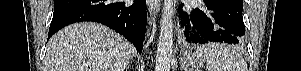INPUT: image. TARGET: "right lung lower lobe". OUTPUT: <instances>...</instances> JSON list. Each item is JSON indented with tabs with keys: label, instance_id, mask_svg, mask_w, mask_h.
I'll use <instances>...</instances> for the list:
<instances>
[{
	"label": "right lung lower lobe",
	"instance_id": "1",
	"mask_svg": "<svg viewBox=\"0 0 301 71\" xmlns=\"http://www.w3.org/2000/svg\"><path fill=\"white\" fill-rule=\"evenodd\" d=\"M83 21L112 28L141 53L147 22L146 0H134L132 5L115 0H55L48 39L66 25Z\"/></svg>",
	"mask_w": 301,
	"mask_h": 71
}]
</instances>
